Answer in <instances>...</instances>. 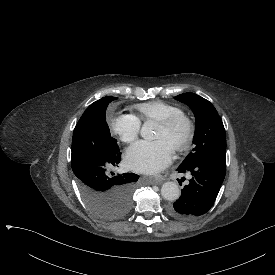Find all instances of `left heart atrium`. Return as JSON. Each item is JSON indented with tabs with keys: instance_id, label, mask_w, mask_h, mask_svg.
Here are the masks:
<instances>
[{
	"instance_id": "left-heart-atrium-1",
	"label": "left heart atrium",
	"mask_w": 275,
	"mask_h": 275,
	"mask_svg": "<svg viewBox=\"0 0 275 275\" xmlns=\"http://www.w3.org/2000/svg\"><path fill=\"white\" fill-rule=\"evenodd\" d=\"M174 157L173 146L166 140L141 142L127 153L129 167L138 172L155 173L167 167Z\"/></svg>"
}]
</instances>
